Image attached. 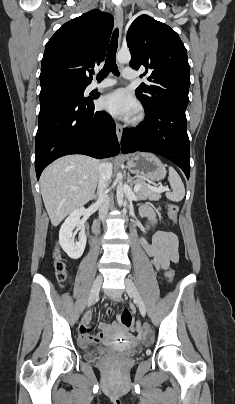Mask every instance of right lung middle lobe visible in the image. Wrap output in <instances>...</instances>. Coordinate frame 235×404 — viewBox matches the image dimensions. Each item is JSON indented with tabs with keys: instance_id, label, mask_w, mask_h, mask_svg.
I'll return each mask as SVG.
<instances>
[{
	"instance_id": "right-lung-middle-lobe-1",
	"label": "right lung middle lobe",
	"mask_w": 235,
	"mask_h": 404,
	"mask_svg": "<svg viewBox=\"0 0 235 404\" xmlns=\"http://www.w3.org/2000/svg\"><path fill=\"white\" fill-rule=\"evenodd\" d=\"M87 85L72 84L67 82H50L41 85L40 101L59 98L71 102H86L83 94Z\"/></svg>"
}]
</instances>
